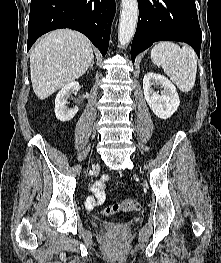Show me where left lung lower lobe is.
<instances>
[{"label": "left lung lower lobe", "mask_w": 221, "mask_h": 263, "mask_svg": "<svg viewBox=\"0 0 221 263\" xmlns=\"http://www.w3.org/2000/svg\"><path fill=\"white\" fill-rule=\"evenodd\" d=\"M139 18L131 46V59L154 42L188 43L200 57L201 29L195 0H138Z\"/></svg>", "instance_id": "0a47b994"}]
</instances>
